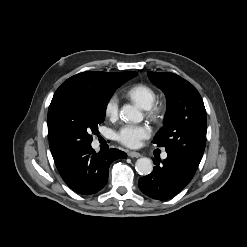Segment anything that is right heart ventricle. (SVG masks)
Wrapping results in <instances>:
<instances>
[{"mask_svg":"<svg viewBox=\"0 0 247 247\" xmlns=\"http://www.w3.org/2000/svg\"><path fill=\"white\" fill-rule=\"evenodd\" d=\"M126 95L143 109H149L156 101V91L148 84L137 83L131 86Z\"/></svg>","mask_w":247,"mask_h":247,"instance_id":"obj_1","label":"right heart ventricle"}]
</instances>
